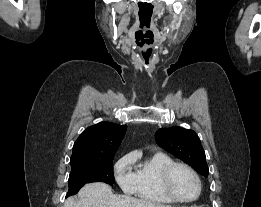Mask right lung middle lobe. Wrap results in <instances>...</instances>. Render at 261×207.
<instances>
[{
  "instance_id": "dd1d6c3e",
  "label": "right lung middle lobe",
  "mask_w": 261,
  "mask_h": 207,
  "mask_svg": "<svg viewBox=\"0 0 261 207\" xmlns=\"http://www.w3.org/2000/svg\"><path fill=\"white\" fill-rule=\"evenodd\" d=\"M113 158L71 164L72 169L68 180L69 190L66 197L76 194L86 183L105 182L113 185L115 183Z\"/></svg>"
}]
</instances>
